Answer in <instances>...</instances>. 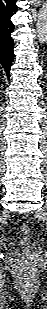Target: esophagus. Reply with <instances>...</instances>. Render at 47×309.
Returning a JSON list of instances; mask_svg holds the SVG:
<instances>
[{
	"label": "esophagus",
	"instance_id": "esophagus-1",
	"mask_svg": "<svg viewBox=\"0 0 47 309\" xmlns=\"http://www.w3.org/2000/svg\"><path fill=\"white\" fill-rule=\"evenodd\" d=\"M31 3L33 4V6L38 8L41 5V0H32Z\"/></svg>",
	"mask_w": 47,
	"mask_h": 309
}]
</instances>
